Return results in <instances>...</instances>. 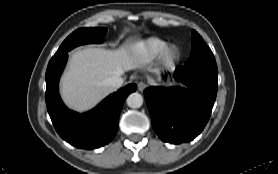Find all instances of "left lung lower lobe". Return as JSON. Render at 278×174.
Segmentation results:
<instances>
[{"instance_id":"left-lung-lower-lobe-1","label":"left lung lower lobe","mask_w":278,"mask_h":174,"mask_svg":"<svg viewBox=\"0 0 278 174\" xmlns=\"http://www.w3.org/2000/svg\"><path fill=\"white\" fill-rule=\"evenodd\" d=\"M173 77L183 87H149L144 97L156 134L179 144L193 140L207 124L216 99L218 70L185 65Z\"/></svg>"}]
</instances>
